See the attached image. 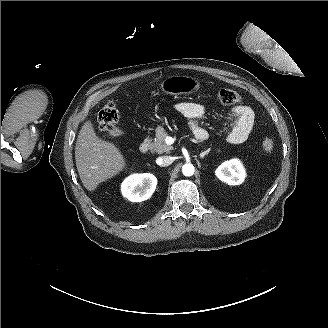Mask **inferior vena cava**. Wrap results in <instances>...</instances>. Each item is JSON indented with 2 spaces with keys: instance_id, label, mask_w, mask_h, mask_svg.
Returning a JSON list of instances; mask_svg holds the SVG:
<instances>
[{
  "instance_id": "obj_1",
  "label": "inferior vena cava",
  "mask_w": 328,
  "mask_h": 328,
  "mask_svg": "<svg viewBox=\"0 0 328 328\" xmlns=\"http://www.w3.org/2000/svg\"><path fill=\"white\" fill-rule=\"evenodd\" d=\"M173 158L171 156H161L157 159V164L161 167L169 166L173 163Z\"/></svg>"
}]
</instances>
